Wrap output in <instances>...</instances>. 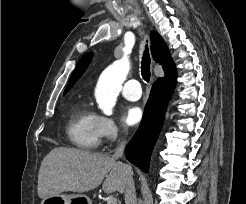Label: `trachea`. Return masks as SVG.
Returning a JSON list of instances; mask_svg holds the SVG:
<instances>
[{
	"label": "trachea",
	"instance_id": "1",
	"mask_svg": "<svg viewBox=\"0 0 246 204\" xmlns=\"http://www.w3.org/2000/svg\"><path fill=\"white\" fill-rule=\"evenodd\" d=\"M150 62L151 59L149 55V50H148V46L146 45L142 57V65H141V75L146 82H149L150 80Z\"/></svg>",
	"mask_w": 246,
	"mask_h": 204
}]
</instances>
